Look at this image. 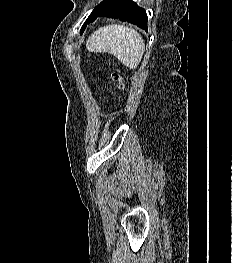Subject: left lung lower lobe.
Returning a JSON list of instances; mask_svg holds the SVG:
<instances>
[{
	"label": "left lung lower lobe",
	"mask_w": 233,
	"mask_h": 263,
	"mask_svg": "<svg viewBox=\"0 0 233 263\" xmlns=\"http://www.w3.org/2000/svg\"><path fill=\"white\" fill-rule=\"evenodd\" d=\"M99 16H107L109 18H119L136 24L138 27L148 30L147 14L143 8H140L132 0H116V2L108 6L104 11L98 12L88 19V23L93 22Z\"/></svg>",
	"instance_id": "0a47b994"
}]
</instances>
